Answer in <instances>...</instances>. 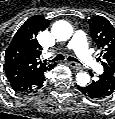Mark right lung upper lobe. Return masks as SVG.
Masks as SVG:
<instances>
[{
    "instance_id": "obj_1",
    "label": "right lung upper lobe",
    "mask_w": 115,
    "mask_h": 119,
    "mask_svg": "<svg viewBox=\"0 0 115 119\" xmlns=\"http://www.w3.org/2000/svg\"><path fill=\"white\" fill-rule=\"evenodd\" d=\"M49 21L41 15L30 17L14 35L5 52L7 79L11 84L20 82L37 72L53 67L41 61V46L37 35L47 28Z\"/></svg>"
}]
</instances>
